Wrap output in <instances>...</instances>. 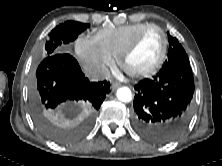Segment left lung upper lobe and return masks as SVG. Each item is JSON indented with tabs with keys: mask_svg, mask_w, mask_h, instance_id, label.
Masks as SVG:
<instances>
[{
	"mask_svg": "<svg viewBox=\"0 0 222 166\" xmlns=\"http://www.w3.org/2000/svg\"><path fill=\"white\" fill-rule=\"evenodd\" d=\"M169 41V50H168V60L165 61L164 66L172 65V64H190L188 56L178 42V40L170 35H168ZM163 66V67H164Z\"/></svg>",
	"mask_w": 222,
	"mask_h": 166,
	"instance_id": "1",
	"label": "left lung upper lobe"
}]
</instances>
